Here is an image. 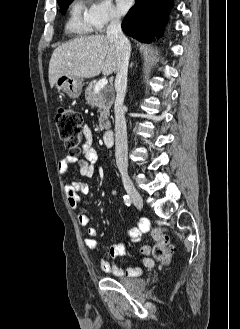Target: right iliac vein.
I'll return each mask as SVG.
<instances>
[{"label": "right iliac vein", "mask_w": 240, "mask_h": 329, "mask_svg": "<svg viewBox=\"0 0 240 329\" xmlns=\"http://www.w3.org/2000/svg\"><path fill=\"white\" fill-rule=\"evenodd\" d=\"M123 185L128 193L129 197L131 198V201L133 204L138 208L141 209L143 207V200L140 195V193L137 191V189L134 187L133 183L131 180L127 177L123 178Z\"/></svg>", "instance_id": "right-iliac-vein-1"}]
</instances>
